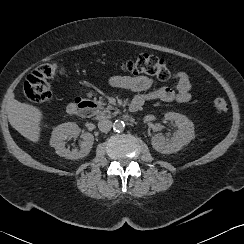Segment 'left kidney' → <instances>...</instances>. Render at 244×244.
Masks as SVG:
<instances>
[{"instance_id": "obj_1", "label": "left kidney", "mask_w": 244, "mask_h": 244, "mask_svg": "<svg viewBox=\"0 0 244 244\" xmlns=\"http://www.w3.org/2000/svg\"><path fill=\"white\" fill-rule=\"evenodd\" d=\"M166 119L173 124L176 130L169 139H165L162 134H156L152 137L151 144L156 151L162 154L176 153L194 139V124L188 117L176 112H169Z\"/></svg>"}]
</instances>
